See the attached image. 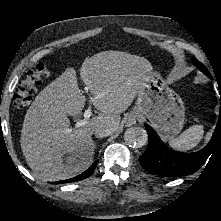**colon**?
Instances as JSON below:
<instances>
[{
	"label": "colon",
	"instance_id": "colon-1",
	"mask_svg": "<svg viewBox=\"0 0 221 221\" xmlns=\"http://www.w3.org/2000/svg\"><path fill=\"white\" fill-rule=\"evenodd\" d=\"M51 73V66L48 63H40L33 70L28 72L25 79L20 83L14 97V105L18 109L29 106L38 86L47 79Z\"/></svg>",
	"mask_w": 221,
	"mask_h": 221
}]
</instances>
